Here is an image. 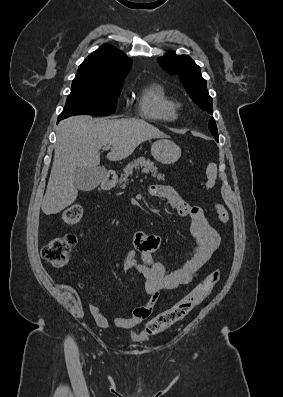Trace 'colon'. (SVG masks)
<instances>
[{
	"mask_svg": "<svg viewBox=\"0 0 283 397\" xmlns=\"http://www.w3.org/2000/svg\"><path fill=\"white\" fill-rule=\"evenodd\" d=\"M214 207L220 222L227 223L229 221V213L225 206L221 203H215ZM82 216V207L80 205H72L63 212L62 220L69 226H76L80 223ZM75 243L76 237L72 234L56 237L43 246L41 255L52 266L57 268L64 267L69 262ZM221 275V269H214L199 286L177 304L152 318L146 325V332L149 335H156L185 318L220 280Z\"/></svg>",
	"mask_w": 283,
	"mask_h": 397,
	"instance_id": "1",
	"label": "colon"
}]
</instances>
